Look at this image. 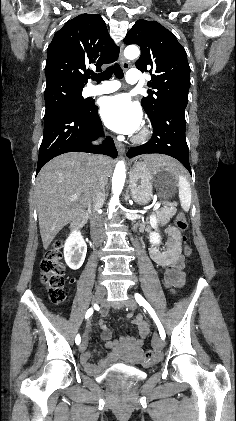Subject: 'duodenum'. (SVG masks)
Listing matches in <instances>:
<instances>
[{
    "label": "duodenum",
    "instance_id": "410a0bca",
    "mask_svg": "<svg viewBox=\"0 0 236 421\" xmlns=\"http://www.w3.org/2000/svg\"><path fill=\"white\" fill-rule=\"evenodd\" d=\"M87 221V214L81 213L71 223V231L77 236H82V228ZM151 258L161 267L164 268V278L167 285L176 286L182 281V269L184 267L183 260L180 256V251L175 244L171 243L168 249L159 251L152 249L150 251ZM140 340L137 341V343ZM112 346V344H109ZM89 357L83 356V365L88 373L93 375L100 374L109 364L115 359L114 354L108 355L107 358L99 362L98 365H93L88 362Z\"/></svg>",
    "mask_w": 236,
    "mask_h": 421
}]
</instances>
